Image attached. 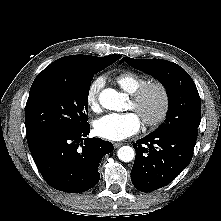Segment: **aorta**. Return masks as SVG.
<instances>
[{
	"label": "aorta",
	"instance_id": "obj_1",
	"mask_svg": "<svg viewBox=\"0 0 221 221\" xmlns=\"http://www.w3.org/2000/svg\"><path fill=\"white\" fill-rule=\"evenodd\" d=\"M125 100V94L111 88L104 89L99 95L102 107L114 111H122ZM117 156L123 162H130L135 157V151L130 146H122L118 149Z\"/></svg>",
	"mask_w": 221,
	"mask_h": 221
}]
</instances>
